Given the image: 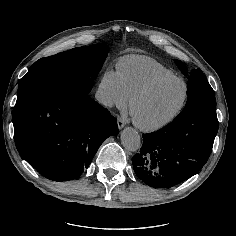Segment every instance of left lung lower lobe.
<instances>
[{
	"label": "left lung lower lobe",
	"mask_w": 236,
	"mask_h": 236,
	"mask_svg": "<svg viewBox=\"0 0 236 236\" xmlns=\"http://www.w3.org/2000/svg\"><path fill=\"white\" fill-rule=\"evenodd\" d=\"M218 131L216 109L191 107L172 123L143 134L140 152L132 158L136 175L155 188L172 187L201 170Z\"/></svg>",
	"instance_id": "0a47b994"
}]
</instances>
